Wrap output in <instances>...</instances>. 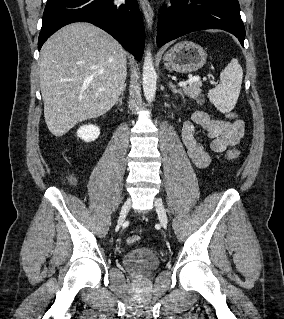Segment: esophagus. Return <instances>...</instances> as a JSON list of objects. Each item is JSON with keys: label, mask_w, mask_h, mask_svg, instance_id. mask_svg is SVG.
<instances>
[{"label": "esophagus", "mask_w": 284, "mask_h": 319, "mask_svg": "<svg viewBox=\"0 0 284 319\" xmlns=\"http://www.w3.org/2000/svg\"><path fill=\"white\" fill-rule=\"evenodd\" d=\"M140 6L144 14L145 20L147 22V25L149 28H151L154 16L151 4L148 0H140Z\"/></svg>", "instance_id": "34e87169"}]
</instances>
